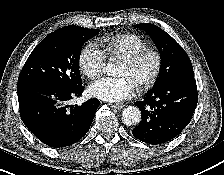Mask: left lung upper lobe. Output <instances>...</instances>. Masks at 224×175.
I'll use <instances>...</instances> for the list:
<instances>
[{
    "mask_svg": "<svg viewBox=\"0 0 224 175\" xmlns=\"http://www.w3.org/2000/svg\"><path fill=\"white\" fill-rule=\"evenodd\" d=\"M147 32L161 56V71L156 86L180 76H194L191 61L182 47L164 30L150 23L134 25Z\"/></svg>",
    "mask_w": 224,
    "mask_h": 175,
    "instance_id": "5c2ea615",
    "label": "left lung upper lobe"
}]
</instances>
